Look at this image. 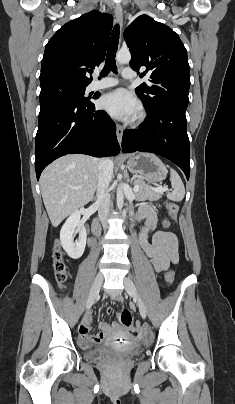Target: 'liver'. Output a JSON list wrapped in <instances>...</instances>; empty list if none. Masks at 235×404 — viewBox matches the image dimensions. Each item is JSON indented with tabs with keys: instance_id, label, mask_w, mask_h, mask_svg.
Masks as SVG:
<instances>
[{
	"instance_id": "liver-1",
	"label": "liver",
	"mask_w": 235,
	"mask_h": 404,
	"mask_svg": "<svg viewBox=\"0 0 235 404\" xmlns=\"http://www.w3.org/2000/svg\"><path fill=\"white\" fill-rule=\"evenodd\" d=\"M98 175L99 160L83 154L63 156L44 169L41 194L54 227L93 199Z\"/></svg>"
}]
</instances>
